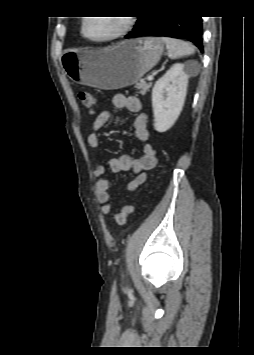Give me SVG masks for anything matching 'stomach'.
Wrapping results in <instances>:
<instances>
[{
	"label": "stomach",
	"mask_w": 254,
	"mask_h": 355,
	"mask_svg": "<svg viewBox=\"0 0 254 355\" xmlns=\"http://www.w3.org/2000/svg\"><path fill=\"white\" fill-rule=\"evenodd\" d=\"M163 50L161 38L141 37L104 49L66 50L61 65L74 82L114 90L137 83L158 63Z\"/></svg>",
	"instance_id": "stomach-1"
}]
</instances>
